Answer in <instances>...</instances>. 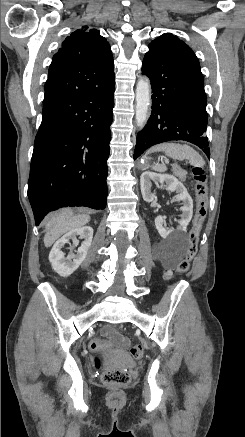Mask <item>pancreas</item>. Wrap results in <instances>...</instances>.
<instances>
[{"mask_svg":"<svg viewBox=\"0 0 245 437\" xmlns=\"http://www.w3.org/2000/svg\"><path fill=\"white\" fill-rule=\"evenodd\" d=\"M174 175L177 176L181 181L186 180V174L187 172L179 167H176L173 169Z\"/></svg>","mask_w":245,"mask_h":437,"instance_id":"cf45deb5","label":"pancreas"}]
</instances>
